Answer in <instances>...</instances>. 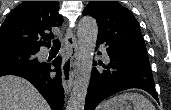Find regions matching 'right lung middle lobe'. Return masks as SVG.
Segmentation results:
<instances>
[{"mask_svg": "<svg viewBox=\"0 0 171 110\" xmlns=\"http://www.w3.org/2000/svg\"><path fill=\"white\" fill-rule=\"evenodd\" d=\"M37 52V50L17 47L0 48V71L40 65L41 63L35 58Z\"/></svg>", "mask_w": 171, "mask_h": 110, "instance_id": "right-lung-middle-lobe-1", "label": "right lung middle lobe"}]
</instances>
